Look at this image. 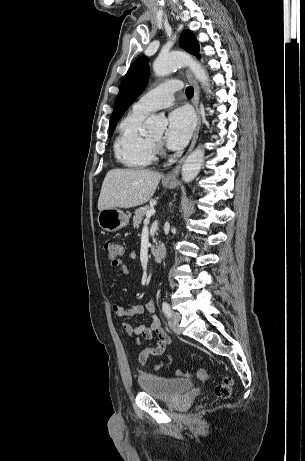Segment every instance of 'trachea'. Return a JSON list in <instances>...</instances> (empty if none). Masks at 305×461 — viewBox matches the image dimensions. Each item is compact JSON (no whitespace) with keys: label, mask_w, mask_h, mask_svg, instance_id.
<instances>
[{"label":"trachea","mask_w":305,"mask_h":461,"mask_svg":"<svg viewBox=\"0 0 305 461\" xmlns=\"http://www.w3.org/2000/svg\"><path fill=\"white\" fill-rule=\"evenodd\" d=\"M193 94H194V89H193V87H191V86L187 87V88H186V95H187V97H192Z\"/></svg>","instance_id":"1"}]
</instances>
